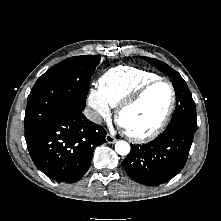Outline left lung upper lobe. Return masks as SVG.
Returning <instances> with one entry per match:
<instances>
[{
  "label": "left lung upper lobe",
  "instance_id": "1",
  "mask_svg": "<svg viewBox=\"0 0 221 221\" xmlns=\"http://www.w3.org/2000/svg\"><path fill=\"white\" fill-rule=\"evenodd\" d=\"M147 62L158 68L164 74L171 76L172 83L176 93V108L167 128H176L184 126L196 130V108L195 102L186 82L182 79L180 74L172 69L170 66L157 59L142 57Z\"/></svg>",
  "mask_w": 221,
  "mask_h": 221
}]
</instances>
